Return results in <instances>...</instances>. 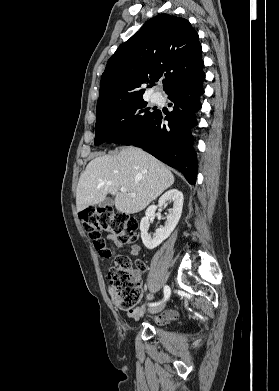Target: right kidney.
I'll list each match as a JSON object with an SVG mask.
<instances>
[{
    "instance_id": "right-kidney-1",
    "label": "right kidney",
    "mask_w": 279,
    "mask_h": 391,
    "mask_svg": "<svg viewBox=\"0 0 279 391\" xmlns=\"http://www.w3.org/2000/svg\"><path fill=\"white\" fill-rule=\"evenodd\" d=\"M183 201L184 197L182 192L177 189H170L159 198L158 205H151L148 207L145 213V217H143L140 222L141 239L145 247L148 249H154L170 236L180 220ZM168 202L173 203V208L169 210L165 225L164 227L157 229L154 233V236L151 237V235L148 233L151 219L155 216L156 209L158 207H163V205Z\"/></svg>"
}]
</instances>
